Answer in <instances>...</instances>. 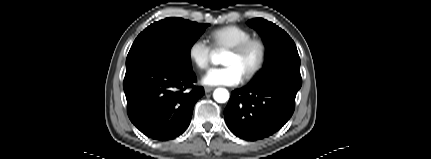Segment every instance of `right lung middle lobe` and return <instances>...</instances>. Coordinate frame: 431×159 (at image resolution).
<instances>
[{"mask_svg": "<svg viewBox=\"0 0 431 159\" xmlns=\"http://www.w3.org/2000/svg\"><path fill=\"white\" fill-rule=\"evenodd\" d=\"M208 24L166 18L148 26L135 39L126 59V70L148 61L191 70L190 49Z\"/></svg>", "mask_w": 431, "mask_h": 159, "instance_id": "right-lung-middle-lobe-1", "label": "right lung middle lobe"}]
</instances>
